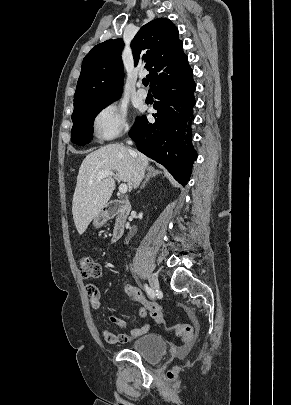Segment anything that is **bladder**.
<instances>
[{"label": "bladder", "mask_w": 291, "mask_h": 405, "mask_svg": "<svg viewBox=\"0 0 291 405\" xmlns=\"http://www.w3.org/2000/svg\"><path fill=\"white\" fill-rule=\"evenodd\" d=\"M129 349L146 361L155 363L167 353V342L160 334L145 333L133 340Z\"/></svg>", "instance_id": "31cf9c89"}]
</instances>
